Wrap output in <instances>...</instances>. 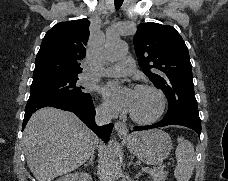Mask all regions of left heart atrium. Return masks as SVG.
<instances>
[{"mask_svg":"<svg viewBox=\"0 0 228 181\" xmlns=\"http://www.w3.org/2000/svg\"><path fill=\"white\" fill-rule=\"evenodd\" d=\"M110 106L115 111H131L133 106V92L116 83H111L104 88Z\"/></svg>","mask_w":228,"mask_h":181,"instance_id":"39dd6f15","label":"left heart atrium"}]
</instances>
